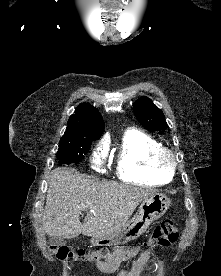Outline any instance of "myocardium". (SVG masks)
<instances>
[{
  "label": "myocardium",
  "mask_w": 221,
  "mask_h": 276,
  "mask_svg": "<svg viewBox=\"0 0 221 276\" xmlns=\"http://www.w3.org/2000/svg\"><path fill=\"white\" fill-rule=\"evenodd\" d=\"M154 167L165 173H173L177 167L176 156L172 150L160 146L152 154Z\"/></svg>",
  "instance_id": "obj_1"
}]
</instances>
